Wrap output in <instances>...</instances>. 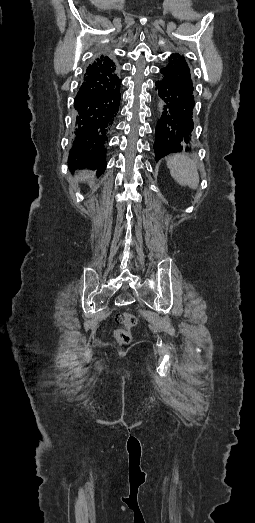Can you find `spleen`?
<instances>
[{"label":"spleen","mask_w":255,"mask_h":523,"mask_svg":"<svg viewBox=\"0 0 255 523\" xmlns=\"http://www.w3.org/2000/svg\"><path fill=\"white\" fill-rule=\"evenodd\" d=\"M167 168L170 174L180 186H189V188H198L199 174L197 172L196 164L184 156V154H175L171 158H167Z\"/></svg>","instance_id":"obj_1"}]
</instances>
